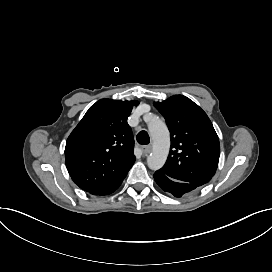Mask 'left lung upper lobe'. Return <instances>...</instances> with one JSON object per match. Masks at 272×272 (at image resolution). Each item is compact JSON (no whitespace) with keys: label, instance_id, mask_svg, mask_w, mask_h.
<instances>
[{"label":"left lung upper lobe","instance_id":"1","mask_svg":"<svg viewBox=\"0 0 272 272\" xmlns=\"http://www.w3.org/2000/svg\"><path fill=\"white\" fill-rule=\"evenodd\" d=\"M155 107L164 116L171 136L169 156L159 171L197 187L208 183L218 166L220 144L206 113L183 95L155 102Z\"/></svg>","mask_w":272,"mask_h":272}]
</instances>
